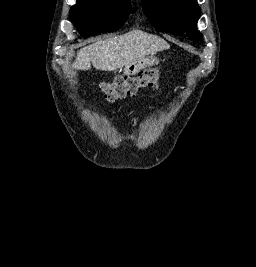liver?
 Here are the masks:
<instances>
[{
  "label": "liver",
  "instance_id": "6515ba94",
  "mask_svg": "<svg viewBox=\"0 0 256 267\" xmlns=\"http://www.w3.org/2000/svg\"><path fill=\"white\" fill-rule=\"evenodd\" d=\"M170 46L152 34H146L141 30H132L123 36L100 40L91 46H85L77 52L73 64L75 70H90L91 64L96 70L113 72L123 66H130L134 62H140L149 54L169 50Z\"/></svg>",
  "mask_w": 256,
  "mask_h": 267
}]
</instances>
